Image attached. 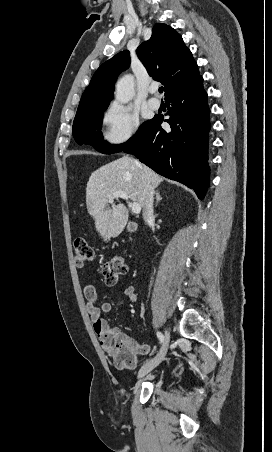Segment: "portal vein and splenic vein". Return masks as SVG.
<instances>
[{
	"mask_svg": "<svg viewBox=\"0 0 272 452\" xmlns=\"http://www.w3.org/2000/svg\"><path fill=\"white\" fill-rule=\"evenodd\" d=\"M122 198L124 200H128L129 196L128 193L125 191H116L112 194V196L109 198V202H112L115 198ZM130 207L132 209V212L134 214H139L141 212V206L138 203H130Z\"/></svg>",
	"mask_w": 272,
	"mask_h": 452,
	"instance_id": "1",
	"label": "portal vein and splenic vein"
}]
</instances>
